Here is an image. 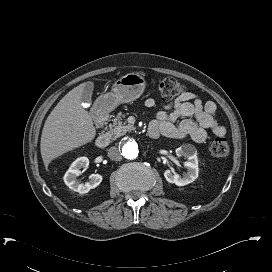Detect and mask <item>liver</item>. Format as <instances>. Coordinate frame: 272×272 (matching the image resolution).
<instances>
[{"instance_id":"1","label":"liver","mask_w":272,"mask_h":272,"mask_svg":"<svg viewBox=\"0 0 272 272\" xmlns=\"http://www.w3.org/2000/svg\"><path fill=\"white\" fill-rule=\"evenodd\" d=\"M85 82L69 91L47 117L41 135L40 152L45 167L55 158L91 142L96 129L82 104Z\"/></svg>"}]
</instances>
